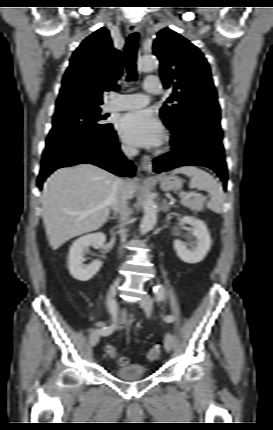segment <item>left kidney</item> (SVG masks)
Masks as SVG:
<instances>
[{
	"label": "left kidney",
	"mask_w": 273,
	"mask_h": 430,
	"mask_svg": "<svg viewBox=\"0 0 273 430\" xmlns=\"http://www.w3.org/2000/svg\"><path fill=\"white\" fill-rule=\"evenodd\" d=\"M181 222L192 226V235L196 241L187 243L175 240L174 249L182 261L189 264L199 263L205 258L211 247L212 242L208 228L202 220L192 216H184ZM189 245L191 248L188 247Z\"/></svg>",
	"instance_id": "left-kidney-1"
}]
</instances>
